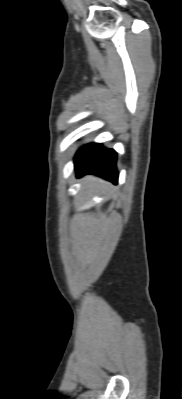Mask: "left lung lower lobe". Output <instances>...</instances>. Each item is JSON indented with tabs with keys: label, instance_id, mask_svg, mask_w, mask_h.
I'll return each mask as SVG.
<instances>
[{
	"label": "left lung lower lobe",
	"instance_id": "left-lung-lower-lobe-1",
	"mask_svg": "<svg viewBox=\"0 0 182 399\" xmlns=\"http://www.w3.org/2000/svg\"><path fill=\"white\" fill-rule=\"evenodd\" d=\"M117 153L113 149H105L102 144L90 143L83 146L74 158L77 177L95 174L117 184Z\"/></svg>",
	"mask_w": 182,
	"mask_h": 399
}]
</instances>
